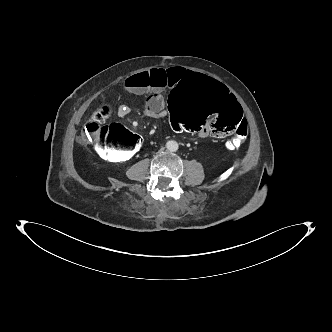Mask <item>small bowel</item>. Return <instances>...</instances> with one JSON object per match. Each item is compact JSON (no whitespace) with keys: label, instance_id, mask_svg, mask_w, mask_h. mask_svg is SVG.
<instances>
[{"label":"small bowel","instance_id":"obj_1","mask_svg":"<svg viewBox=\"0 0 332 332\" xmlns=\"http://www.w3.org/2000/svg\"><path fill=\"white\" fill-rule=\"evenodd\" d=\"M184 76L185 71L179 67L153 68L128 77L124 81V87L131 94H149L144 108L145 115L149 118H159L166 116V102L163 94L171 92ZM130 111V107L122 105L118 108L117 114L119 117H125ZM199 137L206 138L202 135Z\"/></svg>","mask_w":332,"mask_h":332}]
</instances>
